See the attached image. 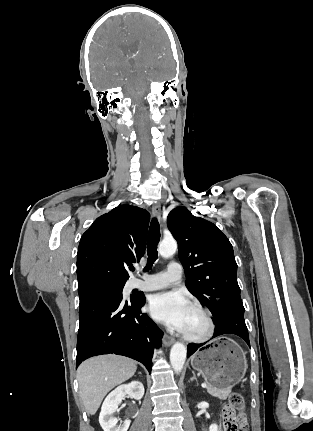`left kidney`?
<instances>
[{
    "label": "left kidney",
    "instance_id": "left-kidney-1",
    "mask_svg": "<svg viewBox=\"0 0 313 431\" xmlns=\"http://www.w3.org/2000/svg\"><path fill=\"white\" fill-rule=\"evenodd\" d=\"M209 431H219V429H218V425H217V424H212V425L209 427Z\"/></svg>",
    "mask_w": 313,
    "mask_h": 431
}]
</instances>
